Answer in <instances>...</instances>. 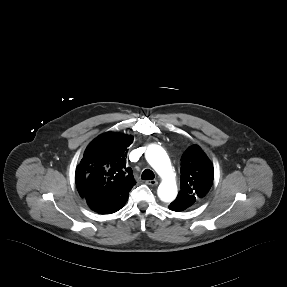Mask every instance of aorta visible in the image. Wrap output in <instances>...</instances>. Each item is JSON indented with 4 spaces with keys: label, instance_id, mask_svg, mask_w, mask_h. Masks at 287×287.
<instances>
[{
    "label": "aorta",
    "instance_id": "1",
    "mask_svg": "<svg viewBox=\"0 0 287 287\" xmlns=\"http://www.w3.org/2000/svg\"><path fill=\"white\" fill-rule=\"evenodd\" d=\"M145 157L150 166L162 179L157 190L158 197L163 202L173 201L178 191L175 175L166 151L161 146L152 144L148 147Z\"/></svg>",
    "mask_w": 287,
    "mask_h": 287
}]
</instances>
